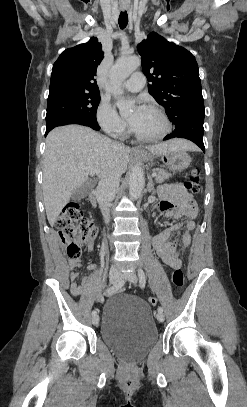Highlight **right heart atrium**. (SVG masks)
<instances>
[{
  "label": "right heart atrium",
  "mask_w": 247,
  "mask_h": 407,
  "mask_svg": "<svg viewBox=\"0 0 247 407\" xmlns=\"http://www.w3.org/2000/svg\"><path fill=\"white\" fill-rule=\"evenodd\" d=\"M96 120L100 127L108 134L122 137L126 131V124L107 100H101L96 110Z\"/></svg>",
  "instance_id": "right-heart-atrium-1"
}]
</instances>
